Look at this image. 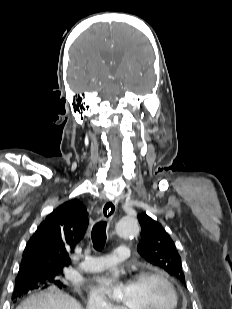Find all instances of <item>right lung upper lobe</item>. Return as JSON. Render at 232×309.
<instances>
[{
  "instance_id": "obj_1",
  "label": "right lung upper lobe",
  "mask_w": 232,
  "mask_h": 309,
  "mask_svg": "<svg viewBox=\"0 0 232 309\" xmlns=\"http://www.w3.org/2000/svg\"><path fill=\"white\" fill-rule=\"evenodd\" d=\"M87 226L86 207L79 200L62 204L41 222L27 242L20 270H63L71 263L67 251L74 250Z\"/></svg>"
}]
</instances>
